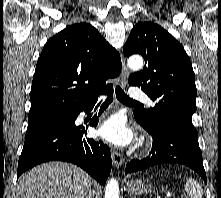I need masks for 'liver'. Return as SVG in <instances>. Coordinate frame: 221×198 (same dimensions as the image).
Instances as JSON below:
<instances>
[{
	"label": "liver",
	"mask_w": 221,
	"mask_h": 198,
	"mask_svg": "<svg viewBox=\"0 0 221 198\" xmlns=\"http://www.w3.org/2000/svg\"><path fill=\"white\" fill-rule=\"evenodd\" d=\"M91 177L76 165L49 162L22 175L13 198H88Z\"/></svg>",
	"instance_id": "obj_1"
}]
</instances>
